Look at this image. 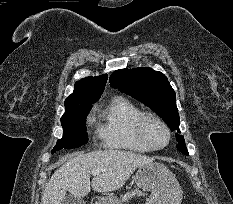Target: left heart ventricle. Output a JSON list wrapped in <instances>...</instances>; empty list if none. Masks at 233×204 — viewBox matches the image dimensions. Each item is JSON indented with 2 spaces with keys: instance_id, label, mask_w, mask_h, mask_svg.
Masks as SVG:
<instances>
[{
  "instance_id": "left-heart-ventricle-1",
  "label": "left heart ventricle",
  "mask_w": 233,
  "mask_h": 204,
  "mask_svg": "<svg viewBox=\"0 0 233 204\" xmlns=\"http://www.w3.org/2000/svg\"><path fill=\"white\" fill-rule=\"evenodd\" d=\"M146 135L149 141L155 146H162L167 141V134L164 128L156 121L150 120L146 123Z\"/></svg>"
}]
</instances>
